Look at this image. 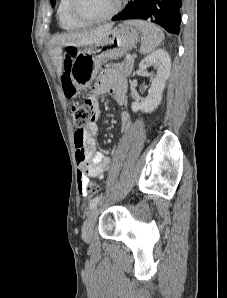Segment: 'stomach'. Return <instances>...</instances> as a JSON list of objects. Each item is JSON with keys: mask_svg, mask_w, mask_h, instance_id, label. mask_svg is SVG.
<instances>
[{"mask_svg": "<svg viewBox=\"0 0 227 298\" xmlns=\"http://www.w3.org/2000/svg\"><path fill=\"white\" fill-rule=\"evenodd\" d=\"M139 41V33L127 23L111 29L98 43L78 51L68 71L78 90L88 87L95 79L102 63L118 59L131 51Z\"/></svg>", "mask_w": 227, "mask_h": 298, "instance_id": "obj_1", "label": "stomach"}]
</instances>
